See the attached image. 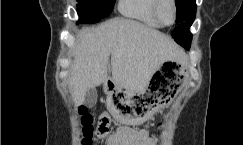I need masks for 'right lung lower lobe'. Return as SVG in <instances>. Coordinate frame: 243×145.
Returning <instances> with one entry per match:
<instances>
[{
	"instance_id": "obj_1",
	"label": "right lung lower lobe",
	"mask_w": 243,
	"mask_h": 145,
	"mask_svg": "<svg viewBox=\"0 0 243 145\" xmlns=\"http://www.w3.org/2000/svg\"><path fill=\"white\" fill-rule=\"evenodd\" d=\"M78 15L80 17V20L78 22H83V23H94L103 19L100 17H96L90 12L83 11V10H78Z\"/></svg>"
}]
</instances>
